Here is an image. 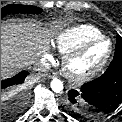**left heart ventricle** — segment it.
I'll return each mask as SVG.
<instances>
[{"mask_svg": "<svg viewBox=\"0 0 122 122\" xmlns=\"http://www.w3.org/2000/svg\"><path fill=\"white\" fill-rule=\"evenodd\" d=\"M108 43L101 42L90 48L84 55L72 64L74 72L82 73L96 65L107 53Z\"/></svg>", "mask_w": 122, "mask_h": 122, "instance_id": "left-heart-ventricle-1", "label": "left heart ventricle"}]
</instances>
